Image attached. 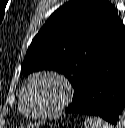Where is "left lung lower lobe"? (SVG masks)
I'll list each match as a JSON object with an SVG mask.
<instances>
[{
    "mask_svg": "<svg viewBox=\"0 0 125 128\" xmlns=\"http://www.w3.org/2000/svg\"><path fill=\"white\" fill-rule=\"evenodd\" d=\"M125 31L88 74L67 113L102 117L112 125L125 118Z\"/></svg>",
    "mask_w": 125,
    "mask_h": 128,
    "instance_id": "0a47b994",
    "label": "left lung lower lobe"
}]
</instances>
